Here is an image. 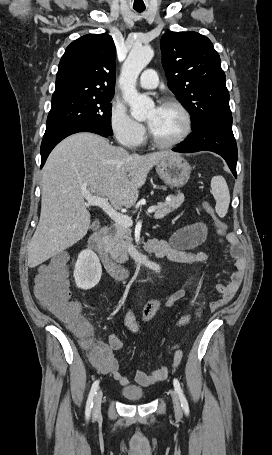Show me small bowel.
Masks as SVG:
<instances>
[{
	"label": "small bowel",
	"instance_id": "obj_1",
	"mask_svg": "<svg viewBox=\"0 0 272 455\" xmlns=\"http://www.w3.org/2000/svg\"><path fill=\"white\" fill-rule=\"evenodd\" d=\"M207 238V227L203 223H195L179 229L175 232L170 240H151L153 244V252L159 258H167L171 261L183 264L203 263L207 260L208 254L203 251H194L196 247L203 244ZM229 246L230 254L235 262V270L230 276V280L226 284H217L216 290L220 294V298L211 303V310L215 311L227 304L238 291L246 269V259L242 252V248L234 233H229L226 237ZM185 289L175 290L165 296L155 297L148 301L144 319L147 321L162 307H172L185 296ZM190 322V315H184L179 325H187ZM125 326L132 332L138 330L137 323L131 311H128L124 317ZM105 350L104 359L101 362H95L97 368L102 373H111L116 381L122 386L130 384V380L121 373L117 359L113 352L120 350L123 347L121 339L110 334L108 343L102 344ZM182 351H176L173 359V368H177L182 359ZM168 375L166 367H161L152 372L137 371L135 380L142 386H149L156 382L164 380Z\"/></svg>",
	"mask_w": 272,
	"mask_h": 455
}]
</instances>
